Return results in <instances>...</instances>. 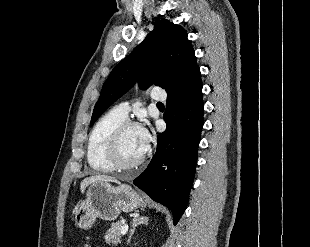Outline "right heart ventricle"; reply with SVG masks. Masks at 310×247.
Masks as SVG:
<instances>
[{
    "mask_svg": "<svg viewBox=\"0 0 310 247\" xmlns=\"http://www.w3.org/2000/svg\"><path fill=\"white\" fill-rule=\"evenodd\" d=\"M126 117L115 108L105 113L92 128L87 144V161L96 172L106 173L113 170L106 157L108 140L114 129Z\"/></svg>",
    "mask_w": 310,
    "mask_h": 247,
    "instance_id": "e07e8e85",
    "label": "right heart ventricle"
}]
</instances>
